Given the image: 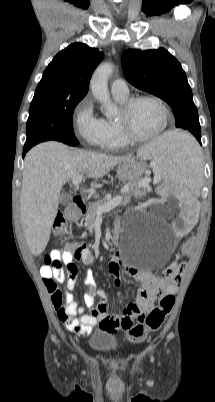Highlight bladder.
Returning a JSON list of instances; mask_svg holds the SVG:
<instances>
[{
  "instance_id": "31cf9c89",
  "label": "bladder",
  "mask_w": 215,
  "mask_h": 402,
  "mask_svg": "<svg viewBox=\"0 0 215 402\" xmlns=\"http://www.w3.org/2000/svg\"><path fill=\"white\" fill-rule=\"evenodd\" d=\"M89 345L96 351L110 352L116 349L117 340L111 332L97 330L89 338Z\"/></svg>"
}]
</instances>
